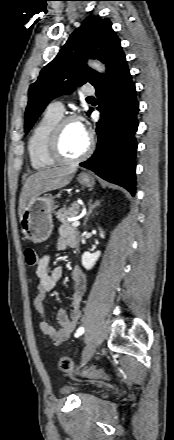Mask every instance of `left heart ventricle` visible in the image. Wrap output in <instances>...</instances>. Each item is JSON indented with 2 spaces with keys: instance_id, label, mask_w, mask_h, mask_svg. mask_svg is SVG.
Segmentation results:
<instances>
[{
  "instance_id": "1",
  "label": "left heart ventricle",
  "mask_w": 174,
  "mask_h": 440,
  "mask_svg": "<svg viewBox=\"0 0 174 440\" xmlns=\"http://www.w3.org/2000/svg\"><path fill=\"white\" fill-rule=\"evenodd\" d=\"M87 143V134L79 129L76 122H69L64 126L61 137V150L66 157H77L86 149Z\"/></svg>"
}]
</instances>
